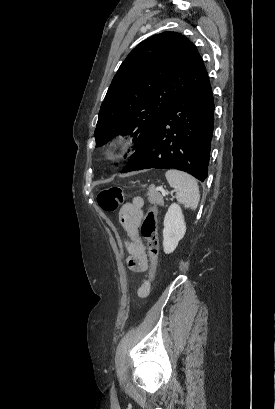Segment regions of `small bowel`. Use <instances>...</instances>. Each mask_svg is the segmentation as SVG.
I'll use <instances>...</instances> for the list:
<instances>
[{"label": "small bowel", "instance_id": "c3829d8e", "mask_svg": "<svg viewBox=\"0 0 275 409\" xmlns=\"http://www.w3.org/2000/svg\"><path fill=\"white\" fill-rule=\"evenodd\" d=\"M144 206V199L136 196L124 204L119 213L121 225L128 235V239L124 242L129 253L127 264L134 272H144L149 269L146 246L139 235V226L144 216ZM146 285L147 282L138 289L139 296L143 297V290Z\"/></svg>", "mask_w": 275, "mask_h": 409}]
</instances>
